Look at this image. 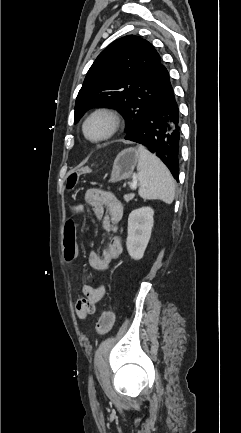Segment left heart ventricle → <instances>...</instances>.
Instances as JSON below:
<instances>
[{
  "instance_id": "obj_1",
  "label": "left heart ventricle",
  "mask_w": 241,
  "mask_h": 433,
  "mask_svg": "<svg viewBox=\"0 0 241 433\" xmlns=\"http://www.w3.org/2000/svg\"><path fill=\"white\" fill-rule=\"evenodd\" d=\"M107 127V123L104 119H95L90 122L87 126V133L90 137H98L102 135Z\"/></svg>"
}]
</instances>
